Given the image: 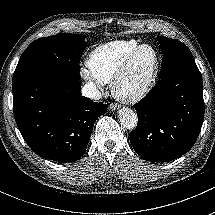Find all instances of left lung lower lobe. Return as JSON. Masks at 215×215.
<instances>
[{
  "mask_svg": "<svg viewBox=\"0 0 215 215\" xmlns=\"http://www.w3.org/2000/svg\"><path fill=\"white\" fill-rule=\"evenodd\" d=\"M134 107L138 125L130 133V142L141 158L168 162L187 153L204 118L202 78L196 64L162 77Z\"/></svg>",
  "mask_w": 215,
  "mask_h": 215,
  "instance_id": "1",
  "label": "left lung lower lobe"
}]
</instances>
